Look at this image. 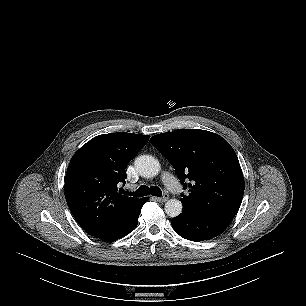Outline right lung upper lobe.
Instances as JSON below:
<instances>
[{"label":"right lung upper lobe","mask_w":306,"mask_h":306,"mask_svg":"<svg viewBox=\"0 0 306 306\" xmlns=\"http://www.w3.org/2000/svg\"><path fill=\"white\" fill-rule=\"evenodd\" d=\"M150 136L117 132L94 137L72 157L65 177L71 213L90 235L107 240L129 219L141 199L119 194L126 166Z\"/></svg>","instance_id":"obj_1"}]
</instances>
